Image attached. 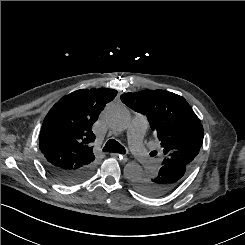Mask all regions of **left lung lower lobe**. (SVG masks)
<instances>
[{
  "mask_svg": "<svg viewBox=\"0 0 245 245\" xmlns=\"http://www.w3.org/2000/svg\"><path fill=\"white\" fill-rule=\"evenodd\" d=\"M191 166L182 163H167L161 166L158 173L154 175H143L133 182L140 193L150 197L165 196L176 188L187 177Z\"/></svg>",
  "mask_w": 245,
  "mask_h": 245,
  "instance_id": "left-lung-lower-lobe-1",
  "label": "left lung lower lobe"
}]
</instances>
